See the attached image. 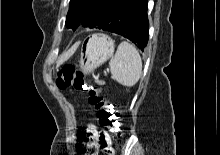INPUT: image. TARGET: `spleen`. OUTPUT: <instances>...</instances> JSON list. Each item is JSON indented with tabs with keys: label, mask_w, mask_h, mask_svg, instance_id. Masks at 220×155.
<instances>
[{
	"label": "spleen",
	"mask_w": 220,
	"mask_h": 155,
	"mask_svg": "<svg viewBox=\"0 0 220 155\" xmlns=\"http://www.w3.org/2000/svg\"><path fill=\"white\" fill-rule=\"evenodd\" d=\"M111 78L119 84L131 87L140 79L142 60L136 48L127 41H122L115 56L109 63Z\"/></svg>",
	"instance_id": "1"
}]
</instances>
